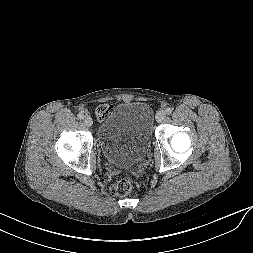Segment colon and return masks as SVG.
Returning a JSON list of instances; mask_svg holds the SVG:
<instances>
[{
	"label": "colon",
	"mask_w": 253,
	"mask_h": 253,
	"mask_svg": "<svg viewBox=\"0 0 253 253\" xmlns=\"http://www.w3.org/2000/svg\"><path fill=\"white\" fill-rule=\"evenodd\" d=\"M110 110L111 107L108 105L101 106L97 111L98 117H106L110 113ZM134 186V181L130 179H121L112 186L111 191L115 196H126L133 190Z\"/></svg>",
	"instance_id": "5ec220e1"
}]
</instances>
